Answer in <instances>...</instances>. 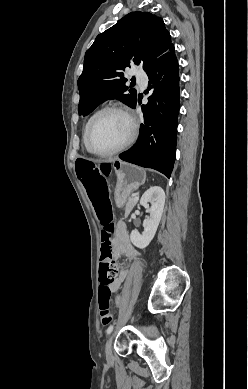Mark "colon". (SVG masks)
Segmentation results:
<instances>
[{
	"label": "colon",
	"mask_w": 248,
	"mask_h": 389,
	"mask_svg": "<svg viewBox=\"0 0 248 389\" xmlns=\"http://www.w3.org/2000/svg\"><path fill=\"white\" fill-rule=\"evenodd\" d=\"M79 178L93 204L101 231V263L99 309L103 325L112 322L110 309L111 285L117 278V265L112 258L111 246L115 237V223L108 192V176L112 171L110 161H87L86 157L76 158ZM115 308L119 309L125 302L124 294H115Z\"/></svg>",
	"instance_id": "1"
}]
</instances>
